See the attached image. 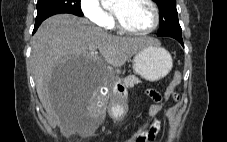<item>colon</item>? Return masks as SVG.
Segmentation results:
<instances>
[{
    "mask_svg": "<svg viewBox=\"0 0 227 142\" xmlns=\"http://www.w3.org/2000/svg\"><path fill=\"white\" fill-rule=\"evenodd\" d=\"M181 81V74L175 73L170 84L164 92V96L161 102L153 103L147 110L146 116L142 123L130 134L126 135L118 142H138L139 138L148 130L150 123L154 122L157 114L162 108L163 100L169 98L175 89V86Z\"/></svg>",
    "mask_w": 227,
    "mask_h": 142,
    "instance_id": "5ec220e1",
    "label": "colon"
}]
</instances>
